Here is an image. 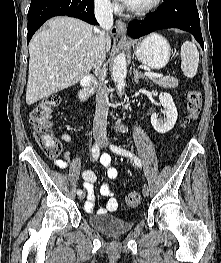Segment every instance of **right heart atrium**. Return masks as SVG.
<instances>
[{
  "label": "right heart atrium",
  "mask_w": 221,
  "mask_h": 263,
  "mask_svg": "<svg viewBox=\"0 0 221 263\" xmlns=\"http://www.w3.org/2000/svg\"><path fill=\"white\" fill-rule=\"evenodd\" d=\"M96 5L103 9L110 10L114 7V2L113 0H94Z\"/></svg>",
  "instance_id": "d8ad5b80"
}]
</instances>
